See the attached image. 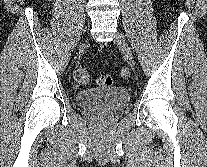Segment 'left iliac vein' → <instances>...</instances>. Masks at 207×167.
Listing matches in <instances>:
<instances>
[{"mask_svg":"<svg viewBox=\"0 0 207 167\" xmlns=\"http://www.w3.org/2000/svg\"><path fill=\"white\" fill-rule=\"evenodd\" d=\"M115 44L120 48V50L124 53L125 57L130 61L134 62L132 52L125 40V38L118 34L114 39Z\"/></svg>","mask_w":207,"mask_h":167,"instance_id":"4c4485c4","label":"left iliac vein"}]
</instances>
